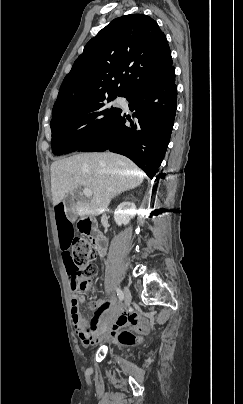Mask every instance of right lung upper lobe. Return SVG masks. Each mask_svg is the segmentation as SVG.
<instances>
[{
	"label": "right lung upper lobe",
	"instance_id": "right-lung-upper-lobe-1",
	"mask_svg": "<svg viewBox=\"0 0 243 404\" xmlns=\"http://www.w3.org/2000/svg\"><path fill=\"white\" fill-rule=\"evenodd\" d=\"M171 67L167 39L155 20L143 14L116 18L86 44L74 62L52 117L102 97H124Z\"/></svg>",
	"mask_w": 243,
	"mask_h": 404
}]
</instances>
